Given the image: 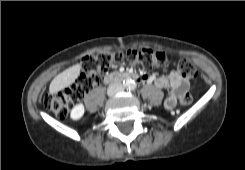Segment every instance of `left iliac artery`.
I'll return each mask as SVG.
<instances>
[{"label": "left iliac artery", "instance_id": "left-iliac-artery-1", "mask_svg": "<svg viewBox=\"0 0 245 170\" xmlns=\"http://www.w3.org/2000/svg\"><path fill=\"white\" fill-rule=\"evenodd\" d=\"M130 91H133V90H135V85H132L131 87H130V89H129Z\"/></svg>", "mask_w": 245, "mask_h": 170}]
</instances>
